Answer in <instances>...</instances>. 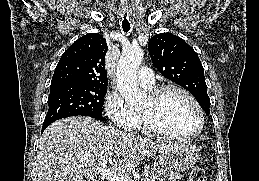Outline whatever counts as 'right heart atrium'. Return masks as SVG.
I'll return each mask as SVG.
<instances>
[{
	"instance_id": "d8ad5b80",
	"label": "right heart atrium",
	"mask_w": 259,
	"mask_h": 181,
	"mask_svg": "<svg viewBox=\"0 0 259 181\" xmlns=\"http://www.w3.org/2000/svg\"><path fill=\"white\" fill-rule=\"evenodd\" d=\"M104 110L112 125L117 129L131 131L135 128L138 115L132 112L124 100L115 92L107 94Z\"/></svg>"
}]
</instances>
